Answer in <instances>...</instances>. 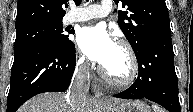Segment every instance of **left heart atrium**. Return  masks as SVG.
<instances>
[{
    "label": "left heart atrium",
    "instance_id": "left-heart-atrium-1",
    "mask_svg": "<svg viewBox=\"0 0 193 112\" xmlns=\"http://www.w3.org/2000/svg\"><path fill=\"white\" fill-rule=\"evenodd\" d=\"M77 45L90 60L105 66L112 57L117 43L104 24L83 28L77 35Z\"/></svg>",
    "mask_w": 193,
    "mask_h": 112
}]
</instances>
